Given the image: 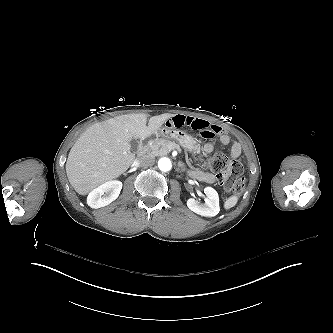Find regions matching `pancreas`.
Wrapping results in <instances>:
<instances>
[{"mask_svg": "<svg viewBox=\"0 0 333 333\" xmlns=\"http://www.w3.org/2000/svg\"><path fill=\"white\" fill-rule=\"evenodd\" d=\"M174 144L175 142L165 138L156 139L149 145L146 154L149 156L167 155L171 151Z\"/></svg>", "mask_w": 333, "mask_h": 333, "instance_id": "obj_1", "label": "pancreas"}]
</instances>
